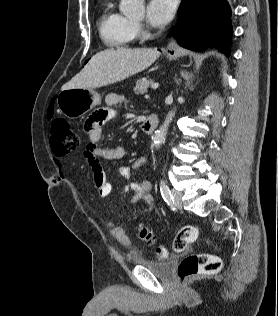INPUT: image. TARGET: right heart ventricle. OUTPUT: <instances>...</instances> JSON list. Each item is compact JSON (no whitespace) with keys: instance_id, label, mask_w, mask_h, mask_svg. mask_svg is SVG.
<instances>
[{"instance_id":"right-heart-ventricle-1","label":"right heart ventricle","mask_w":278,"mask_h":316,"mask_svg":"<svg viewBox=\"0 0 278 316\" xmlns=\"http://www.w3.org/2000/svg\"><path fill=\"white\" fill-rule=\"evenodd\" d=\"M99 34L109 47L127 46L133 40L132 21L118 12L111 0H107L99 17Z\"/></svg>"}]
</instances>
